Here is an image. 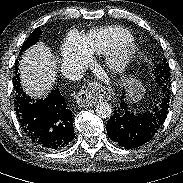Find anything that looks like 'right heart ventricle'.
Returning <instances> with one entry per match:
<instances>
[{
    "instance_id": "obj_1",
    "label": "right heart ventricle",
    "mask_w": 183,
    "mask_h": 183,
    "mask_svg": "<svg viewBox=\"0 0 183 183\" xmlns=\"http://www.w3.org/2000/svg\"><path fill=\"white\" fill-rule=\"evenodd\" d=\"M132 40V35L121 27H106L91 30L79 45L87 54H102L118 49Z\"/></svg>"
}]
</instances>
